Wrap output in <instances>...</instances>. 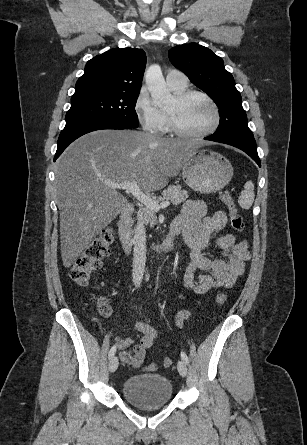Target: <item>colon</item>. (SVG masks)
<instances>
[{
	"label": "colon",
	"instance_id": "obj_1",
	"mask_svg": "<svg viewBox=\"0 0 307 445\" xmlns=\"http://www.w3.org/2000/svg\"><path fill=\"white\" fill-rule=\"evenodd\" d=\"M220 200L226 205L232 228L237 232H242L245 229V223L238 214L237 206L229 191L223 190L219 193ZM114 234L111 229L103 230L76 258L71 269V279L80 286H86L90 283L93 275L100 269L102 261L109 255L110 246L113 242ZM226 301V294L224 292L218 293L216 297L217 305L221 306ZM99 312L107 316L110 314V306L104 298L98 299ZM164 368H169L172 365V360L169 357L161 361ZM156 368V364H151L149 369Z\"/></svg>",
	"mask_w": 307,
	"mask_h": 445
}]
</instances>
